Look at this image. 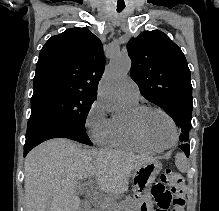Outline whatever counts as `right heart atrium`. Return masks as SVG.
Masks as SVG:
<instances>
[{
  "label": "right heart atrium",
  "instance_id": "right-heart-atrium-1",
  "mask_svg": "<svg viewBox=\"0 0 219 211\" xmlns=\"http://www.w3.org/2000/svg\"><path fill=\"white\" fill-rule=\"evenodd\" d=\"M85 127L96 145L104 146L110 142L113 120L99 99L91 103L85 116Z\"/></svg>",
  "mask_w": 219,
  "mask_h": 211
}]
</instances>
